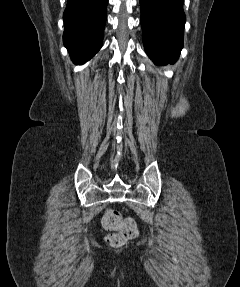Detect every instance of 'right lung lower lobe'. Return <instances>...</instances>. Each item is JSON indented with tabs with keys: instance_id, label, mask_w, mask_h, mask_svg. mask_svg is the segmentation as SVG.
Masks as SVG:
<instances>
[{
	"instance_id": "1",
	"label": "right lung lower lobe",
	"mask_w": 240,
	"mask_h": 287,
	"mask_svg": "<svg viewBox=\"0 0 240 287\" xmlns=\"http://www.w3.org/2000/svg\"><path fill=\"white\" fill-rule=\"evenodd\" d=\"M108 0H68L63 42L75 63L91 59L102 47Z\"/></svg>"
}]
</instances>
